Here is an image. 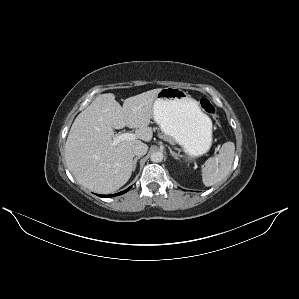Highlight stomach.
<instances>
[{
  "label": "stomach",
  "instance_id": "obj_1",
  "mask_svg": "<svg viewBox=\"0 0 299 299\" xmlns=\"http://www.w3.org/2000/svg\"><path fill=\"white\" fill-rule=\"evenodd\" d=\"M153 119L164 135L190 157L206 153L212 144V121L198 102L178 87L161 89L153 103Z\"/></svg>",
  "mask_w": 299,
  "mask_h": 299
}]
</instances>
